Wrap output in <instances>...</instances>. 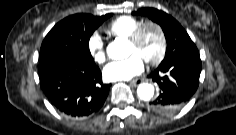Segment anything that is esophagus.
Segmentation results:
<instances>
[{
	"mask_svg": "<svg viewBox=\"0 0 236 135\" xmlns=\"http://www.w3.org/2000/svg\"><path fill=\"white\" fill-rule=\"evenodd\" d=\"M141 82H142L141 79H136V80L129 81V84L133 85V86H136V85L140 84Z\"/></svg>",
	"mask_w": 236,
	"mask_h": 135,
	"instance_id": "1",
	"label": "esophagus"
}]
</instances>
